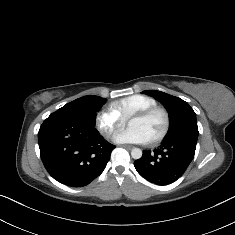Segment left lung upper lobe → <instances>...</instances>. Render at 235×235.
Listing matches in <instances>:
<instances>
[{
  "label": "left lung upper lobe",
  "mask_w": 235,
  "mask_h": 235,
  "mask_svg": "<svg viewBox=\"0 0 235 235\" xmlns=\"http://www.w3.org/2000/svg\"><path fill=\"white\" fill-rule=\"evenodd\" d=\"M143 93L159 100L169 112L170 127L166 140L187 139L197 142L196 114L186 101L157 90H146Z\"/></svg>",
  "instance_id": "left-lung-upper-lobe-1"
}]
</instances>
